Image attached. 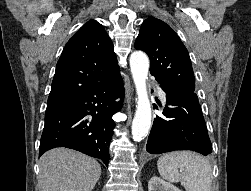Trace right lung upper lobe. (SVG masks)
Masks as SVG:
<instances>
[{
  "label": "right lung upper lobe",
  "mask_w": 251,
  "mask_h": 191,
  "mask_svg": "<svg viewBox=\"0 0 251 191\" xmlns=\"http://www.w3.org/2000/svg\"><path fill=\"white\" fill-rule=\"evenodd\" d=\"M113 44L95 20L67 42L58 60L47 109L63 105L119 75Z\"/></svg>",
  "instance_id": "obj_1"
}]
</instances>
